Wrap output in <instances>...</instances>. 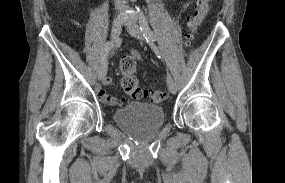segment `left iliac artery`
<instances>
[{"instance_id":"left-iliac-artery-1","label":"left iliac artery","mask_w":285,"mask_h":183,"mask_svg":"<svg viewBox=\"0 0 285 183\" xmlns=\"http://www.w3.org/2000/svg\"><path fill=\"white\" fill-rule=\"evenodd\" d=\"M138 12H140V29L143 33V36L146 38L147 42H153L156 41V35L154 34V32L150 29L147 20L145 19L143 13L140 11V9L138 8ZM160 53L158 52V55ZM160 57V56H159Z\"/></svg>"}]
</instances>
